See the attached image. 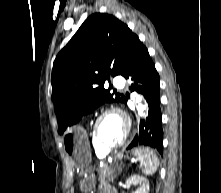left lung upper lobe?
<instances>
[{
	"mask_svg": "<svg viewBox=\"0 0 221 193\" xmlns=\"http://www.w3.org/2000/svg\"><path fill=\"white\" fill-rule=\"evenodd\" d=\"M138 36L113 15L95 13L57 55L52 70V99L62 134L68 126L105 102H124L104 84L122 75Z\"/></svg>",
	"mask_w": 221,
	"mask_h": 193,
	"instance_id": "obj_1",
	"label": "left lung upper lobe"
}]
</instances>
